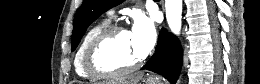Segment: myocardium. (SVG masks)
<instances>
[{
  "mask_svg": "<svg viewBox=\"0 0 260 84\" xmlns=\"http://www.w3.org/2000/svg\"><path fill=\"white\" fill-rule=\"evenodd\" d=\"M122 31H126L118 25H109L102 29L91 41L86 53V71L95 78H114L131 73L138 69L144 57L139 58L135 63L127 67L105 65L102 62V55L106 45Z\"/></svg>",
  "mask_w": 260,
  "mask_h": 84,
  "instance_id": "1",
  "label": "myocardium"
}]
</instances>
